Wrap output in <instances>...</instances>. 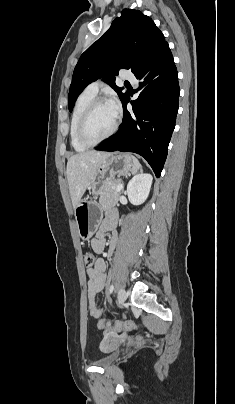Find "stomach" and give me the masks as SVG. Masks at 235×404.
Instances as JSON below:
<instances>
[{
  "mask_svg": "<svg viewBox=\"0 0 235 404\" xmlns=\"http://www.w3.org/2000/svg\"><path fill=\"white\" fill-rule=\"evenodd\" d=\"M134 169L132 156L126 153L110 154L92 177L88 190L93 195L100 194L102 186L116 175H128ZM78 235L83 240L90 239L102 220L101 206L93 200H81L74 209Z\"/></svg>",
  "mask_w": 235,
  "mask_h": 404,
  "instance_id": "1",
  "label": "stomach"
}]
</instances>
